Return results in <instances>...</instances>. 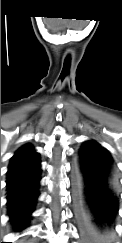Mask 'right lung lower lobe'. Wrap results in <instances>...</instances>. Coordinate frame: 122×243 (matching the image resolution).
Listing matches in <instances>:
<instances>
[{"mask_svg":"<svg viewBox=\"0 0 122 243\" xmlns=\"http://www.w3.org/2000/svg\"><path fill=\"white\" fill-rule=\"evenodd\" d=\"M40 164L7 178V206L10 222L17 231L31 219L39 195Z\"/></svg>","mask_w":122,"mask_h":243,"instance_id":"obj_1","label":"right lung lower lobe"}]
</instances>
